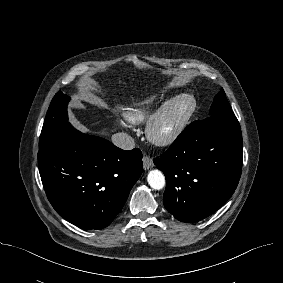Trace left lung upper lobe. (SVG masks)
<instances>
[{
    "label": "left lung upper lobe",
    "mask_w": 283,
    "mask_h": 283,
    "mask_svg": "<svg viewBox=\"0 0 283 283\" xmlns=\"http://www.w3.org/2000/svg\"><path fill=\"white\" fill-rule=\"evenodd\" d=\"M210 116L217 114H233L232 108L226 99L223 89L214 98L213 104L210 109Z\"/></svg>",
    "instance_id": "obj_1"
}]
</instances>
